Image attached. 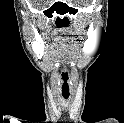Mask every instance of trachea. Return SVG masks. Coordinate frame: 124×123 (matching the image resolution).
Masks as SVG:
<instances>
[{"label":"trachea","mask_w":124,"mask_h":123,"mask_svg":"<svg viewBox=\"0 0 124 123\" xmlns=\"http://www.w3.org/2000/svg\"><path fill=\"white\" fill-rule=\"evenodd\" d=\"M68 98V96H64V99H67Z\"/></svg>","instance_id":"3493384b"}]
</instances>
